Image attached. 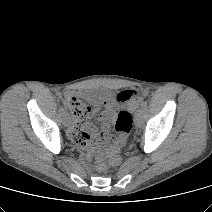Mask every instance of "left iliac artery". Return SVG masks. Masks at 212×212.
Wrapping results in <instances>:
<instances>
[{
	"instance_id": "1",
	"label": "left iliac artery",
	"mask_w": 212,
	"mask_h": 212,
	"mask_svg": "<svg viewBox=\"0 0 212 212\" xmlns=\"http://www.w3.org/2000/svg\"><path fill=\"white\" fill-rule=\"evenodd\" d=\"M141 109H142L143 111H145V110L147 109V101H143V102L141 103Z\"/></svg>"
}]
</instances>
